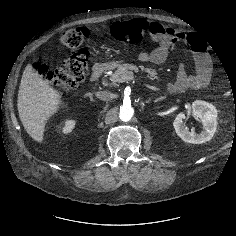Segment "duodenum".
<instances>
[{"instance_id":"obj_1","label":"duodenum","mask_w":236,"mask_h":236,"mask_svg":"<svg viewBox=\"0 0 236 236\" xmlns=\"http://www.w3.org/2000/svg\"><path fill=\"white\" fill-rule=\"evenodd\" d=\"M110 64L108 62L96 63L91 72L90 81L96 82L100 76L109 68Z\"/></svg>"}]
</instances>
